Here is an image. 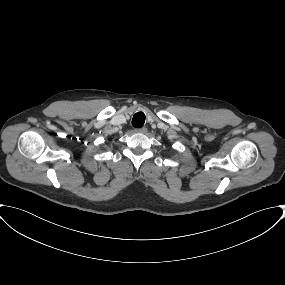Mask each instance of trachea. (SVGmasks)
<instances>
[{"mask_svg": "<svg viewBox=\"0 0 285 285\" xmlns=\"http://www.w3.org/2000/svg\"><path fill=\"white\" fill-rule=\"evenodd\" d=\"M145 123V114L143 112H137L132 119V125L136 128H141Z\"/></svg>", "mask_w": 285, "mask_h": 285, "instance_id": "1", "label": "trachea"}]
</instances>
